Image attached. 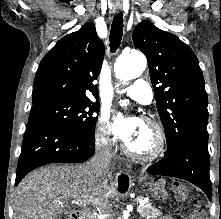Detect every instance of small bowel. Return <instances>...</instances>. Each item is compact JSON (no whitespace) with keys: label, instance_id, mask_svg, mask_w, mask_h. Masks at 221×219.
<instances>
[{"label":"small bowel","instance_id":"1","mask_svg":"<svg viewBox=\"0 0 221 219\" xmlns=\"http://www.w3.org/2000/svg\"><path fill=\"white\" fill-rule=\"evenodd\" d=\"M160 219H170V218L164 217V218H160Z\"/></svg>","mask_w":221,"mask_h":219}]
</instances>
